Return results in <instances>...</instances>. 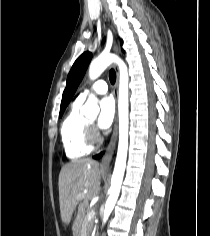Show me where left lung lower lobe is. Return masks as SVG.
<instances>
[{"instance_id":"obj_1","label":"left lung lower lobe","mask_w":210,"mask_h":236,"mask_svg":"<svg viewBox=\"0 0 210 236\" xmlns=\"http://www.w3.org/2000/svg\"><path fill=\"white\" fill-rule=\"evenodd\" d=\"M102 155H103V153L98 154V155L94 156V158H95V159H99V158H101Z\"/></svg>"}]
</instances>
